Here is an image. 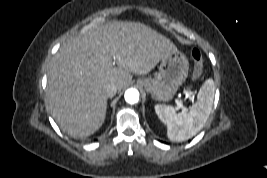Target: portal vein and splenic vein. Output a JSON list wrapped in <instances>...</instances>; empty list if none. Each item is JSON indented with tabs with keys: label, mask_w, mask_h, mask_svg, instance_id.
Instances as JSON below:
<instances>
[{
	"label": "portal vein and splenic vein",
	"mask_w": 267,
	"mask_h": 178,
	"mask_svg": "<svg viewBox=\"0 0 267 178\" xmlns=\"http://www.w3.org/2000/svg\"><path fill=\"white\" fill-rule=\"evenodd\" d=\"M175 103H176L178 109L183 108L182 102L180 100L176 99Z\"/></svg>",
	"instance_id": "obj_1"
}]
</instances>
